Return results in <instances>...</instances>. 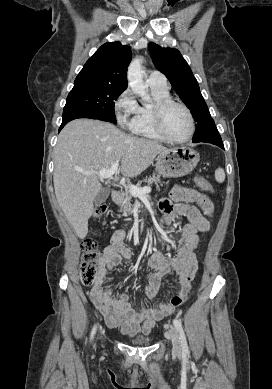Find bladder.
I'll use <instances>...</instances> for the list:
<instances>
[{
    "mask_svg": "<svg viewBox=\"0 0 272 389\" xmlns=\"http://www.w3.org/2000/svg\"><path fill=\"white\" fill-rule=\"evenodd\" d=\"M150 339L147 338H138L133 340V344L137 346H147L150 344Z\"/></svg>",
    "mask_w": 272,
    "mask_h": 389,
    "instance_id": "bladder-1",
    "label": "bladder"
}]
</instances>
